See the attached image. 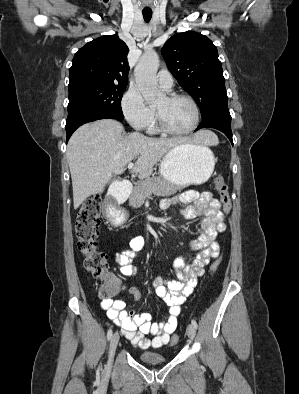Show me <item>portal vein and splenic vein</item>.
<instances>
[{"mask_svg": "<svg viewBox=\"0 0 299 394\" xmlns=\"http://www.w3.org/2000/svg\"><path fill=\"white\" fill-rule=\"evenodd\" d=\"M133 166H134V164H133L132 162H130V163L128 164L127 168H128V169H132Z\"/></svg>", "mask_w": 299, "mask_h": 394, "instance_id": "1", "label": "portal vein and splenic vein"}]
</instances>
